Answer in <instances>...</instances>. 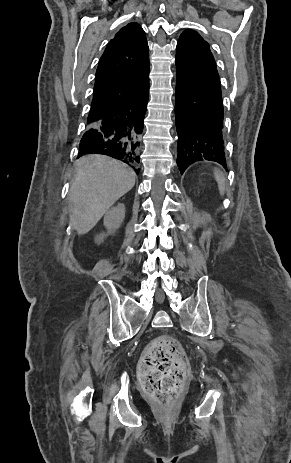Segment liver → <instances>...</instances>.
I'll list each match as a JSON object with an SVG mask.
<instances>
[{
    "label": "liver",
    "mask_w": 291,
    "mask_h": 463,
    "mask_svg": "<svg viewBox=\"0 0 291 463\" xmlns=\"http://www.w3.org/2000/svg\"><path fill=\"white\" fill-rule=\"evenodd\" d=\"M71 184L70 223L79 235L88 233L135 184V173L124 163L104 155L90 154L75 162Z\"/></svg>",
    "instance_id": "obj_1"
}]
</instances>
